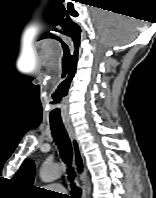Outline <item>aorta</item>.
I'll return each instance as SVG.
<instances>
[{
    "mask_svg": "<svg viewBox=\"0 0 156 198\" xmlns=\"http://www.w3.org/2000/svg\"><path fill=\"white\" fill-rule=\"evenodd\" d=\"M63 172V167L59 164L45 163L40 169V178L43 182L49 183L58 179Z\"/></svg>",
    "mask_w": 156,
    "mask_h": 198,
    "instance_id": "aorta-1",
    "label": "aorta"
}]
</instances>
